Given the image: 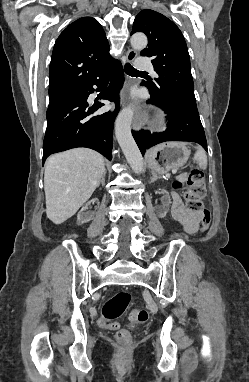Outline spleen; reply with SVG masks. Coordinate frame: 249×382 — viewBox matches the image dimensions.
Masks as SVG:
<instances>
[{
  "label": "spleen",
  "mask_w": 249,
  "mask_h": 382,
  "mask_svg": "<svg viewBox=\"0 0 249 382\" xmlns=\"http://www.w3.org/2000/svg\"><path fill=\"white\" fill-rule=\"evenodd\" d=\"M194 161H196L201 169H206L207 167V156L203 149L197 148L194 155Z\"/></svg>",
  "instance_id": "3e777b00"
}]
</instances>
